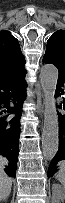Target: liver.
I'll list each match as a JSON object with an SVG mask.
<instances>
[{
  "label": "liver",
  "mask_w": 65,
  "mask_h": 203,
  "mask_svg": "<svg viewBox=\"0 0 65 203\" xmlns=\"http://www.w3.org/2000/svg\"><path fill=\"white\" fill-rule=\"evenodd\" d=\"M0 164L3 167L8 164L4 157H0ZM12 187V179L8 177L3 171L0 172V200H6L10 195Z\"/></svg>",
  "instance_id": "1"
}]
</instances>
